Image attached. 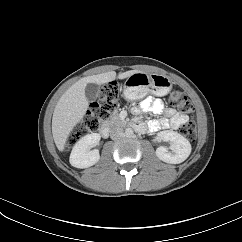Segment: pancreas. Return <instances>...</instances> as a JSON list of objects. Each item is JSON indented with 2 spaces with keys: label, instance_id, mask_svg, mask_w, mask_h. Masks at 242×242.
Returning <instances> with one entry per match:
<instances>
[{
  "label": "pancreas",
  "instance_id": "obj_1",
  "mask_svg": "<svg viewBox=\"0 0 242 242\" xmlns=\"http://www.w3.org/2000/svg\"><path fill=\"white\" fill-rule=\"evenodd\" d=\"M107 122L110 126L122 127L126 124V122L122 120L118 114H113L112 116H110Z\"/></svg>",
  "mask_w": 242,
  "mask_h": 242
}]
</instances>
